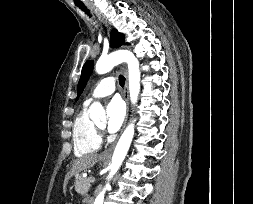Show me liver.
Wrapping results in <instances>:
<instances>
[{
    "mask_svg": "<svg viewBox=\"0 0 253 204\" xmlns=\"http://www.w3.org/2000/svg\"><path fill=\"white\" fill-rule=\"evenodd\" d=\"M97 158L98 154L92 153L74 160L71 170L67 173L65 177L64 190L66 189V184L71 176L77 175L81 171L95 165V163L97 162Z\"/></svg>",
    "mask_w": 253,
    "mask_h": 204,
    "instance_id": "obj_1",
    "label": "liver"
}]
</instances>
